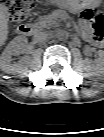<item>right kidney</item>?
Listing matches in <instances>:
<instances>
[{
  "label": "right kidney",
  "instance_id": "ca27d5eb",
  "mask_svg": "<svg viewBox=\"0 0 104 137\" xmlns=\"http://www.w3.org/2000/svg\"><path fill=\"white\" fill-rule=\"evenodd\" d=\"M26 44L27 38L24 36H17L8 44L0 57V69L3 72L8 74L20 73L27 67L29 63L27 57L12 64V57L19 55Z\"/></svg>",
  "mask_w": 104,
  "mask_h": 137
}]
</instances>
